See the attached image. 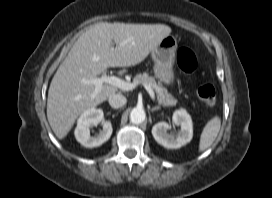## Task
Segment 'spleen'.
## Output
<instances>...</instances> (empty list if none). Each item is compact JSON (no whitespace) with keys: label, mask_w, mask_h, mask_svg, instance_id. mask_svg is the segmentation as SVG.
<instances>
[{"label":"spleen","mask_w":272,"mask_h":198,"mask_svg":"<svg viewBox=\"0 0 272 198\" xmlns=\"http://www.w3.org/2000/svg\"><path fill=\"white\" fill-rule=\"evenodd\" d=\"M221 127V119L219 116L211 118L203 128L199 141V152L205 151L215 141Z\"/></svg>","instance_id":"obj_1"}]
</instances>
